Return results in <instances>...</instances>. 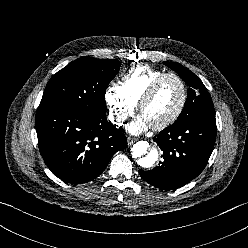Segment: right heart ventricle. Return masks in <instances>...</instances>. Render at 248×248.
<instances>
[{"label": "right heart ventricle", "instance_id": "1", "mask_svg": "<svg viewBox=\"0 0 248 248\" xmlns=\"http://www.w3.org/2000/svg\"><path fill=\"white\" fill-rule=\"evenodd\" d=\"M163 73H165L163 70L148 65L136 66L123 75L121 87L130 101L136 105L152 81Z\"/></svg>", "mask_w": 248, "mask_h": 248}]
</instances>
